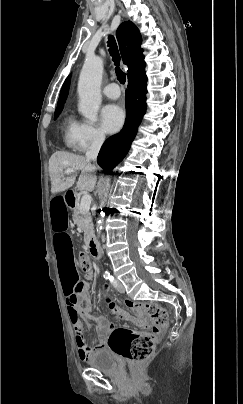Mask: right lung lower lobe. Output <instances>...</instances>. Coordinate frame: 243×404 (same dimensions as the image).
<instances>
[{"instance_id": "right-lung-lower-lobe-1", "label": "right lung lower lobe", "mask_w": 243, "mask_h": 404, "mask_svg": "<svg viewBox=\"0 0 243 404\" xmlns=\"http://www.w3.org/2000/svg\"><path fill=\"white\" fill-rule=\"evenodd\" d=\"M147 77L145 71L128 79L126 90L127 116L123 129L111 136L101 147L98 164L108 172L125 157L146 111Z\"/></svg>"}]
</instances>
